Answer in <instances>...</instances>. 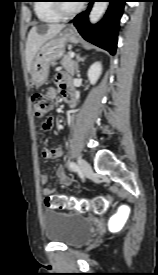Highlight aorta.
<instances>
[{
	"instance_id": "obj_1",
	"label": "aorta",
	"mask_w": 158,
	"mask_h": 275,
	"mask_svg": "<svg viewBox=\"0 0 158 275\" xmlns=\"http://www.w3.org/2000/svg\"><path fill=\"white\" fill-rule=\"evenodd\" d=\"M107 7H108L107 2H95L89 14L90 22L92 24L98 22L100 18L103 16V14L105 13Z\"/></svg>"
}]
</instances>
